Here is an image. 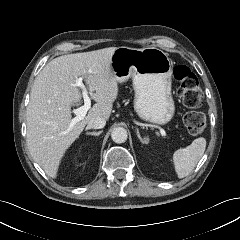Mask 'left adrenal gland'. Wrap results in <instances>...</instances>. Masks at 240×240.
<instances>
[{"label": "left adrenal gland", "instance_id": "obj_1", "mask_svg": "<svg viewBox=\"0 0 240 240\" xmlns=\"http://www.w3.org/2000/svg\"><path fill=\"white\" fill-rule=\"evenodd\" d=\"M136 133H137V137L139 138V140H140V142L141 143H145V144H147L148 142V139L147 138H142L141 136H140V133H139V130H138V128H136Z\"/></svg>", "mask_w": 240, "mask_h": 240}]
</instances>
